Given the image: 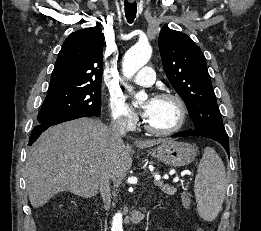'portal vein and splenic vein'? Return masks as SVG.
Listing matches in <instances>:
<instances>
[{
  "instance_id": "portal-vein-and-splenic-vein-1",
  "label": "portal vein and splenic vein",
  "mask_w": 261,
  "mask_h": 231,
  "mask_svg": "<svg viewBox=\"0 0 261 231\" xmlns=\"http://www.w3.org/2000/svg\"><path fill=\"white\" fill-rule=\"evenodd\" d=\"M154 183L155 184H163V182L160 181V177H156Z\"/></svg>"
}]
</instances>
